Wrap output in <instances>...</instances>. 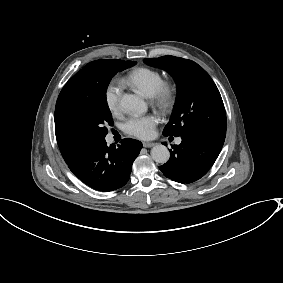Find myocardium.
Here are the masks:
<instances>
[{"instance_id": "f54148a6", "label": "myocardium", "mask_w": 283, "mask_h": 283, "mask_svg": "<svg viewBox=\"0 0 283 283\" xmlns=\"http://www.w3.org/2000/svg\"><path fill=\"white\" fill-rule=\"evenodd\" d=\"M175 90L171 83L162 82L150 95V102L162 111H168L173 105Z\"/></svg>"}]
</instances>
